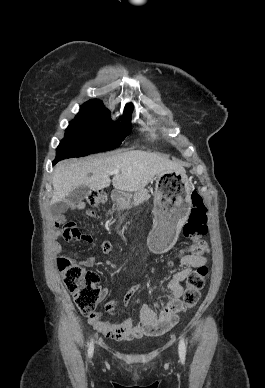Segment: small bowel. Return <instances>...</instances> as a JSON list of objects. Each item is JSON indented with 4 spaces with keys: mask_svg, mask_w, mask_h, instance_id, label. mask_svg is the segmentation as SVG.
<instances>
[{
    "mask_svg": "<svg viewBox=\"0 0 265 388\" xmlns=\"http://www.w3.org/2000/svg\"><path fill=\"white\" fill-rule=\"evenodd\" d=\"M72 207L77 210H83L86 208V203L80 201ZM86 214L90 218L96 216L91 210H87ZM81 239L87 243H93V237L90 235H83ZM54 249L59 253L63 247L60 243H56ZM64 257L73 260L68 256ZM177 259L181 269L173 274L166 286V290L170 294V299L166 304L162 305L159 302H155L153 307L144 304L140 309L138 322L131 317H127L119 322H109L98 318L92 319L90 321L94 328L105 337L115 340H130L143 336L161 334L170 330L177 323L179 313L182 309L180 298L183 294V281L189 276L193 268L204 266L207 262L204 256H196L186 253L183 250L178 251ZM75 262L83 267H91L94 264V259L85 258ZM139 289V284L131 287L124 295L123 303H128ZM109 292L108 288H103L100 291L99 299H105L109 295ZM117 305L115 301L108 302L106 304L107 312L113 315Z\"/></svg>",
    "mask_w": 265,
    "mask_h": 388,
    "instance_id": "c3829d8e",
    "label": "small bowel"
}]
</instances>
